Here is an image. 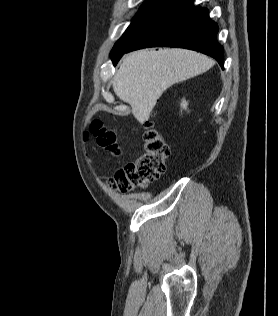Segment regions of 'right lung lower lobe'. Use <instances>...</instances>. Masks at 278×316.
Returning a JSON list of instances; mask_svg holds the SVG:
<instances>
[{
	"mask_svg": "<svg viewBox=\"0 0 278 316\" xmlns=\"http://www.w3.org/2000/svg\"><path fill=\"white\" fill-rule=\"evenodd\" d=\"M217 24L206 8L193 0H170L153 24L128 49L112 57L116 65L123 54L147 47H179L195 50L217 60L223 69V47L217 42Z\"/></svg>",
	"mask_w": 278,
	"mask_h": 316,
	"instance_id": "98d812e1",
	"label": "right lung lower lobe"
}]
</instances>
